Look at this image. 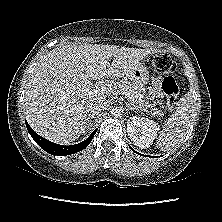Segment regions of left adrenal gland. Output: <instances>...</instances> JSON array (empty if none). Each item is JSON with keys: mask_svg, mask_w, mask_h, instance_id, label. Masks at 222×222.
Masks as SVG:
<instances>
[{"mask_svg": "<svg viewBox=\"0 0 222 222\" xmlns=\"http://www.w3.org/2000/svg\"><path fill=\"white\" fill-rule=\"evenodd\" d=\"M127 109L129 110H133V111H136L137 110V108H134V107H132L130 104H127Z\"/></svg>", "mask_w": 222, "mask_h": 222, "instance_id": "1", "label": "left adrenal gland"}]
</instances>
